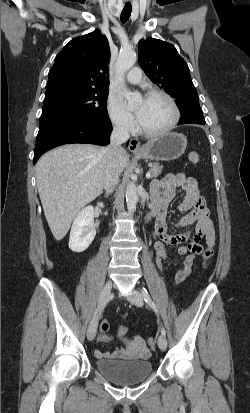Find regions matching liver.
Instances as JSON below:
<instances>
[{"mask_svg":"<svg viewBox=\"0 0 250 413\" xmlns=\"http://www.w3.org/2000/svg\"><path fill=\"white\" fill-rule=\"evenodd\" d=\"M105 149L90 144H67L38 160L35 168L38 192L56 240L65 237L77 212L102 193L107 169ZM128 160L122 148L115 161L120 173Z\"/></svg>","mask_w":250,"mask_h":413,"instance_id":"liver-1","label":"liver"}]
</instances>
